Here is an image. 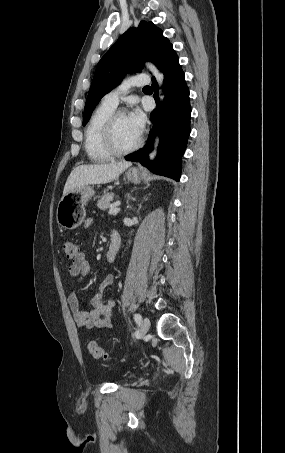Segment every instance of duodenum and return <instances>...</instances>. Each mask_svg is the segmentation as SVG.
<instances>
[{
    "label": "duodenum",
    "instance_id": "duodenum-1",
    "mask_svg": "<svg viewBox=\"0 0 285 453\" xmlns=\"http://www.w3.org/2000/svg\"><path fill=\"white\" fill-rule=\"evenodd\" d=\"M119 247L120 239L118 237H112L110 240L109 248L105 255V258L108 262H113L115 260Z\"/></svg>",
    "mask_w": 285,
    "mask_h": 453
}]
</instances>
